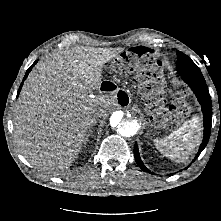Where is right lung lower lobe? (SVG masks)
Returning a JSON list of instances; mask_svg holds the SVG:
<instances>
[{
    "label": "right lung lower lobe",
    "mask_w": 221,
    "mask_h": 221,
    "mask_svg": "<svg viewBox=\"0 0 221 221\" xmlns=\"http://www.w3.org/2000/svg\"><path fill=\"white\" fill-rule=\"evenodd\" d=\"M36 63H37V61H35V62L33 63V65L27 70V72H26V74H25V76H24V78H23V81H22V83H21V85H20V87H19L18 94L20 93V90H21V87H22V85H23L24 80L27 78V76H28L29 72L31 71L32 67H33Z\"/></svg>",
    "instance_id": "obj_1"
}]
</instances>
